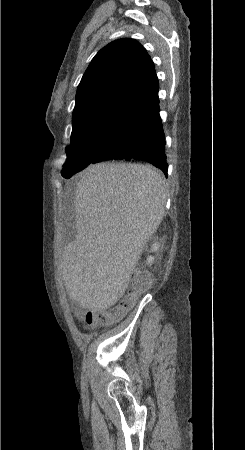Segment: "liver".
<instances>
[{"mask_svg": "<svg viewBox=\"0 0 245 450\" xmlns=\"http://www.w3.org/2000/svg\"><path fill=\"white\" fill-rule=\"evenodd\" d=\"M158 169L133 163L88 166L75 191L76 240L61 258L68 295L95 312L125 293L140 255L165 211Z\"/></svg>", "mask_w": 245, "mask_h": 450, "instance_id": "obj_1", "label": "liver"}]
</instances>
